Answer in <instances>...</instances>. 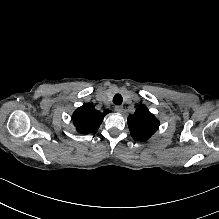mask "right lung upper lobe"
I'll return each mask as SVG.
<instances>
[{"instance_id":"1","label":"right lung upper lobe","mask_w":219,"mask_h":219,"mask_svg":"<svg viewBox=\"0 0 219 219\" xmlns=\"http://www.w3.org/2000/svg\"><path fill=\"white\" fill-rule=\"evenodd\" d=\"M109 110L101 113L93 105L86 103L79 107L72 115L73 123L79 133H94Z\"/></svg>"}]
</instances>
